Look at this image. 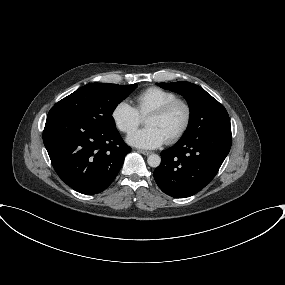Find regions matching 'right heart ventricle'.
I'll return each instance as SVG.
<instances>
[{
    "instance_id": "e07e8e85",
    "label": "right heart ventricle",
    "mask_w": 285,
    "mask_h": 285,
    "mask_svg": "<svg viewBox=\"0 0 285 285\" xmlns=\"http://www.w3.org/2000/svg\"><path fill=\"white\" fill-rule=\"evenodd\" d=\"M177 98V95L160 87H149L134 96V108L141 117L153 109Z\"/></svg>"
}]
</instances>
